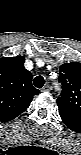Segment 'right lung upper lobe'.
Listing matches in <instances>:
<instances>
[{
	"instance_id": "obj_1",
	"label": "right lung upper lobe",
	"mask_w": 81,
	"mask_h": 155,
	"mask_svg": "<svg viewBox=\"0 0 81 155\" xmlns=\"http://www.w3.org/2000/svg\"><path fill=\"white\" fill-rule=\"evenodd\" d=\"M23 56L0 58V121L20 115L40 91L32 86V74Z\"/></svg>"
}]
</instances>
